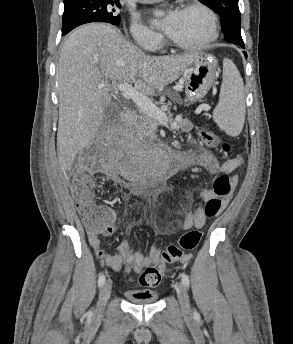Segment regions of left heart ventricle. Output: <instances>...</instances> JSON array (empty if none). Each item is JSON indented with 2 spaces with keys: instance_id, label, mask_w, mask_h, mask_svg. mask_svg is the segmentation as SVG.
<instances>
[{
  "instance_id": "b2bd125f",
  "label": "left heart ventricle",
  "mask_w": 293,
  "mask_h": 344,
  "mask_svg": "<svg viewBox=\"0 0 293 344\" xmlns=\"http://www.w3.org/2000/svg\"><path fill=\"white\" fill-rule=\"evenodd\" d=\"M210 32L208 17L200 10L177 12L168 36L176 41L193 43L205 39Z\"/></svg>"
}]
</instances>
